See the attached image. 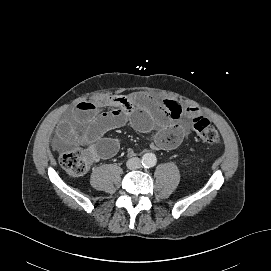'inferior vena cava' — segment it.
Listing matches in <instances>:
<instances>
[{
    "label": "inferior vena cava",
    "instance_id": "602c4592",
    "mask_svg": "<svg viewBox=\"0 0 271 271\" xmlns=\"http://www.w3.org/2000/svg\"><path fill=\"white\" fill-rule=\"evenodd\" d=\"M126 166L130 170L141 168V160L138 157H133L127 160Z\"/></svg>",
    "mask_w": 271,
    "mask_h": 271
}]
</instances>
